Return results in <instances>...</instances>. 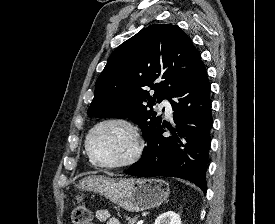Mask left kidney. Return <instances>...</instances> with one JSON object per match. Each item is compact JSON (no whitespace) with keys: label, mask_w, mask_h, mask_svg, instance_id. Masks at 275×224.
Segmentation results:
<instances>
[{"label":"left kidney","mask_w":275,"mask_h":224,"mask_svg":"<svg viewBox=\"0 0 275 224\" xmlns=\"http://www.w3.org/2000/svg\"><path fill=\"white\" fill-rule=\"evenodd\" d=\"M154 224H181V218L175 212L167 211L157 217Z\"/></svg>","instance_id":"1"}]
</instances>
